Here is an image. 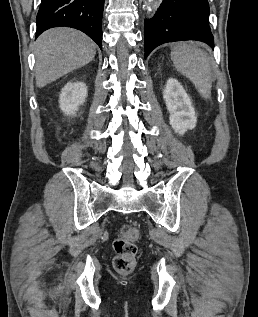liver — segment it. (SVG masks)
I'll return each instance as SVG.
<instances>
[{"label": "liver", "instance_id": "1", "mask_svg": "<svg viewBox=\"0 0 258 317\" xmlns=\"http://www.w3.org/2000/svg\"><path fill=\"white\" fill-rule=\"evenodd\" d=\"M36 84L41 88L63 74L88 64L96 54V44L75 28H50L35 42Z\"/></svg>", "mask_w": 258, "mask_h": 317}]
</instances>
